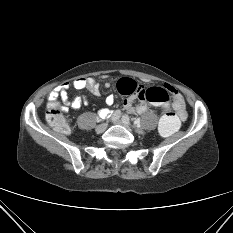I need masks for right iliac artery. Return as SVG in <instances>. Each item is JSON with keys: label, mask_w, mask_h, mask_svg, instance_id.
<instances>
[{"label": "right iliac artery", "mask_w": 233, "mask_h": 233, "mask_svg": "<svg viewBox=\"0 0 233 233\" xmlns=\"http://www.w3.org/2000/svg\"><path fill=\"white\" fill-rule=\"evenodd\" d=\"M120 115H121V111L120 110L114 111V115L111 117V120L114 121L116 119H119ZM108 118H110V117H108Z\"/></svg>", "instance_id": "right-iliac-artery-1"}]
</instances>
